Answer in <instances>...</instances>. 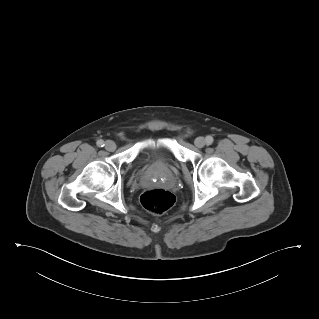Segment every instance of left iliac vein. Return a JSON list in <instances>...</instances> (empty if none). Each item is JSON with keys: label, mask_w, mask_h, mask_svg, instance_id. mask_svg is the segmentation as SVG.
<instances>
[{"label": "left iliac vein", "mask_w": 319, "mask_h": 319, "mask_svg": "<svg viewBox=\"0 0 319 319\" xmlns=\"http://www.w3.org/2000/svg\"><path fill=\"white\" fill-rule=\"evenodd\" d=\"M195 146L198 148H202L206 144V140L203 137H197L194 141Z\"/></svg>", "instance_id": "4c4485c4"}]
</instances>
